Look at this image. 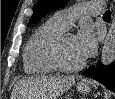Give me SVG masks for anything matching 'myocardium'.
<instances>
[{"mask_svg":"<svg viewBox=\"0 0 115 99\" xmlns=\"http://www.w3.org/2000/svg\"><path fill=\"white\" fill-rule=\"evenodd\" d=\"M72 35L73 33L64 31L63 33L58 35L49 46L48 56L50 61L57 70L64 72H74L82 69L86 64L85 59L81 63L75 65H69L65 63L64 60L62 59L61 56L62 44L67 37Z\"/></svg>","mask_w":115,"mask_h":99,"instance_id":"obj_1","label":"myocardium"}]
</instances>
